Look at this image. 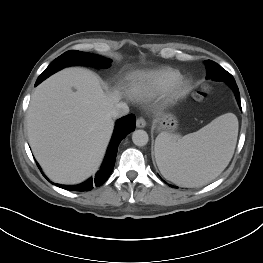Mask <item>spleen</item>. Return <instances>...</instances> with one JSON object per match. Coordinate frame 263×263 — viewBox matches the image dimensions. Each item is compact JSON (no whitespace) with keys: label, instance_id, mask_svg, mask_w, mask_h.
Segmentation results:
<instances>
[{"label":"spleen","instance_id":"obj_1","mask_svg":"<svg viewBox=\"0 0 263 263\" xmlns=\"http://www.w3.org/2000/svg\"><path fill=\"white\" fill-rule=\"evenodd\" d=\"M238 120L233 113L183 137L161 132L155 158L161 174L184 187H198L215 179L229 164L237 142Z\"/></svg>","mask_w":263,"mask_h":263}]
</instances>
